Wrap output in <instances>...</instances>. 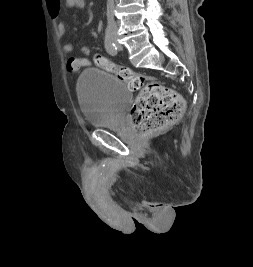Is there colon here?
Listing matches in <instances>:
<instances>
[{
	"label": "colon",
	"mask_w": 253,
	"mask_h": 267,
	"mask_svg": "<svg viewBox=\"0 0 253 267\" xmlns=\"http://www.w3.org/2000/svg\"><path fill=\"white\" fill-rule=\"evenodd\" d=\"M80 52L88 56L90 49L82 45ZM94 62L124 81L131 90L140 91L130 111L131 124L138 136L147 137L156 134L182 116L185 102L174 90L129 68L117 66L101 55H96ZM88 65L90 61L87 58H69L67 62L71 72Z\"/></svg>",
	"instance_id": "5ec220e1"
}]
</instances>
